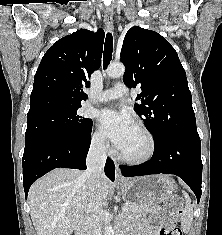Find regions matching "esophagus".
<instances>
[{
    "mask_svg": "<svg viewBox=\"0 0 222 235\" xmlns=\"http://www.w3.org/2000/svg\"><path fill=\"white\" fill-rule=\"evenodd\" d=\"M104 22L108 31L112 30L113 27V13L112 11H106L104 14ZM116 172H115V181L122 182L124 178L121 174L120 168L118 164H115Z\"/></svg>",
    "mask_w": 222,
    "mask_h": 235,
    "instance_id": "34e87169",
    "label": "esophagus"
}]
</instances>
